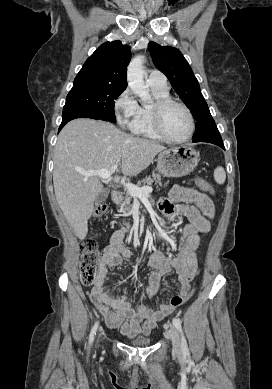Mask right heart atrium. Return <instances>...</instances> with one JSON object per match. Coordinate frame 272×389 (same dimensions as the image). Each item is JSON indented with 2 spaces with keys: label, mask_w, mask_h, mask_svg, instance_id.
Returning a JSON list of instances; mask_svg holds the SVG:
<instances>
[{
  "label": "right heart atrium",
  "mask_w": 272,
  "mask_h": 389,
  "mask_svg": "<svg viewBox=\"0 0 272 389\" xmlns=\"http://www.w3.org/2000/svg\"><path fill=\"white\" fill-rule=\"evenodd\" d=\"M114 112L122 127L130 126L137 115L138 104L129 88L123 90L114 102Z\"/></svg>",
  "instance_id": "right-heart-atrium-1"
}]
</instances>
